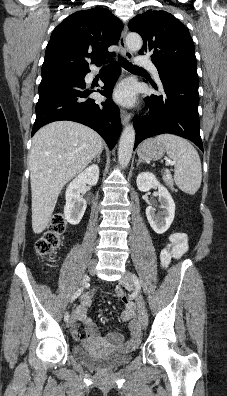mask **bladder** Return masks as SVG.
<instances>
[{
	"label": "bladder",
	"instance_id": "bladder-1",
	"mask_svg": "<svg viewBox=\"0 0 227 396\" xmlns=\"http://www.w3.org/2000/svg\"><path fill=\"white\" fill-rule=\"evenodd\" d=\"M72 353L78 362L97 371L117 369L126 364L131 358L130 352L103 354L87 346H74Z\"/></svg>",
	"mask_w": 227,
	"mask_h": 396
}]
</instances>
